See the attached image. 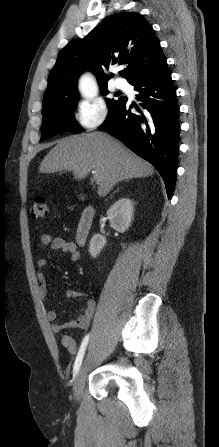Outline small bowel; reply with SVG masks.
<instances>
[{"label": "small bowel", "instance_id": "small-bowel-1", "mask_svg": "<svg viewBox=\"0 0 219 447\" xmlns=\"http://www.w3.org/2000/svg\"><path fill=\"white\" fill-rule=\"evenodd\" d=\"M40 242L43 246H50L54 251L69 253L72 261H77L80 258V252L77 245L71 240L55 237L50 234H43L40 238ZM47 265L48 261L46 259L40 258L37 260L36 267L38 271L39 292L42 296H46L48 293V283L43 274ZM85 296V293L78 289H67L65 291V297L68 300H75ZM95 306V300L87 298L86 303L82 308L81 315L74 320L65 323L57 322V312L55 310L47 311L46 318L51 323V330L54 333H60L64 329H86L91 323ZM61 343L71 354L74 355L77 352V345L70 336L63 335L61 337Z\"/></svg>", "mask_w": 219, "mask_h": 447}]
</instances>
